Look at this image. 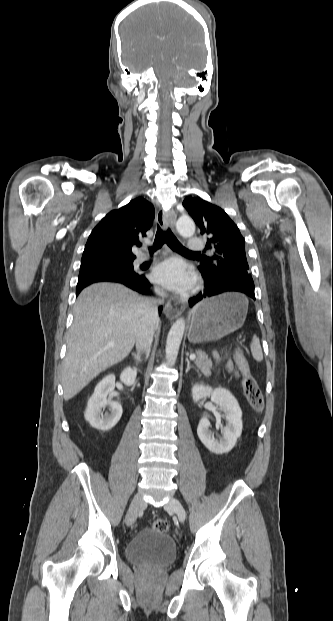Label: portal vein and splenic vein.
Here are the masks:
<instances>
[{
	"label": "portal vein and splenic vein",
	"instance_id": "18ae733b",
	"mask_svg": "<svg viewBox=\"0 0 333 621\" xmlns=\"http://www.w3.org/2000/svg\"><path fill=\"white\" fill-rule=\"evenodd\" d=\"M189 358H190L191 360H195V359H196V355H195V354H191V355L189 356Z\"/></svg>",
	"mask_w": 333,
	"mask_h": 621
}]
</instances>
